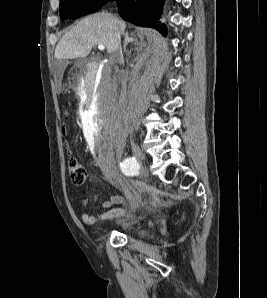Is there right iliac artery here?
I'll return each instance as SVG.
<instances>
[{"label": "right iliac artery", "instance_id": "82829eb1", "mask_svg": "<svg viewBox=\"0 0 267 298\" xmlns=\"http://www.w3.org/2000/svg\"><path fill=\"white\" fill-rule=\"evenodd\" d=\"M124 164H125V168L126 167H139V164L134 157L127 158V160H125Z\"/></svg>", "mask_w": 267, "mask_h": 298}]
</instances>
